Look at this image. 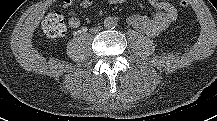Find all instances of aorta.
Wrapping results in <instances>:
<instances>
[{"mask_svg":"<svg viewBox=\"0 0 217 121\" xmlns=\"http://www.w3.org/2000/svg\"><path fill=\"white\" fill-rule=\"evenodd\" d=\"M117 25V19L115 17H107L104 20V26L107 29H112L115 28Z\"/></svg>","mask_w":217,"mask_h":121,"instance_id":"aorta-1","label":"aorta"}]
</instances>
